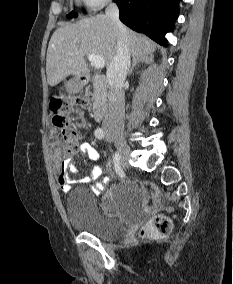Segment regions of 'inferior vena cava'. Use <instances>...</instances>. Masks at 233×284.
I'll return each instance as SVG.
<instances>
[{
  "instance_id": "602c4592",
  "label": "inferior vena cava",
  "mask_w": 233,
  "mask_h": 284,
  "mask_svg": "<svg viewBox=\"0 0 233 284\" xmlns=\"http://www.w3.org/2000/svg\"><path fill=\"white\" fill-rule=\"evenodd\" d=\"M105 13L113 20L118 39L117 53L107 68L110 90L102 126L106 132H121L124 128L125 116L123 85L130 68V40L126 27L119 20L117 5L110 2Z\"/></svg>"
}]
</instances>
